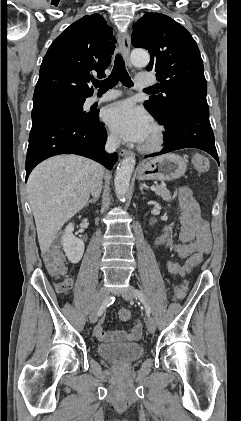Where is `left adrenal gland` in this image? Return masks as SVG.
Instances as JSON below:
<instances>
[{
	"mask_svg": "<svg viewBox=\"0 0 241 421\" xmlns=\"http://www.w3.org/2000/svg\"><path fill=\"white\" fill-rule=\"evenodd\" d=\"M144 189L147 190L148 187L145 184H141L140 185V191H141L142 194H144V191H143Z\"/></svg>",
	"mask_w": 241,
	"mask_h": 421,
	"instance_id": "obj_1",
	"label": "left adrenal gland"
}]
</instances>
